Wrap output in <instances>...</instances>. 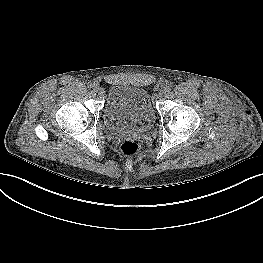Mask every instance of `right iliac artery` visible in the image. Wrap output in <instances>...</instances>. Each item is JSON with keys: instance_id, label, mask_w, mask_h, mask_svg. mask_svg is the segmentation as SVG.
<instances>
[{"instance_id": "1", "label": "right iliac artery", "mask_w": 263, "mask_h": 263, "mask_svg": "<svg viewBox=\"0 0 263 263\" xmlns=\"http://www.w3.org/2000/svg\"><path fill=\"white\" fill-rule=\"evenodd\" d=\"M97 87V84L95 82H92L90 84V88L95 89Z\"/></svg>"}]
</instances>
